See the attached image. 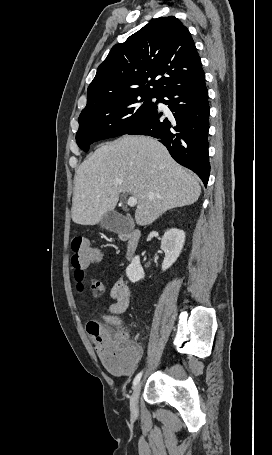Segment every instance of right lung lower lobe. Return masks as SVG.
Masks as SVG:
<instances>
[{"instance_id": "98d812e1", "label": "right lung lower lobe", "mask_w": 272, "mask_h": 455, "mask_svg": "<svg viewBox=\"0 0 272 455\" xmlns=\"http://www.w3.org/2000/svg\"><path fill=\"white\" fill-rule=\"evenodd\" d=\"M159 102L172 111L167 118L157 109L130 129L127 134L158 138L171 156L194 171L207 185L210 173L208 156V90L204 72L169 88Z\"/></svg>"}]
</instances>
